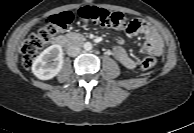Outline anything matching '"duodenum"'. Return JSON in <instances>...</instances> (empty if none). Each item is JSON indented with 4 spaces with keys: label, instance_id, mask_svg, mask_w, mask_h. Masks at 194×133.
Returning a JSON list of instances; mask_svg holds the SVG:
<instances>
[{
    "label": "duodenum",
    "instance_id": "obj_1",
    "mask_svg": "<svg viewBox=\"0 0 194 133\" xmlns=\"http://www.w3.org/2000/svg\"><path fill=\"white\" fill-rule=\"evenodd\" d=\"M83 38L79 36H58L54 39V44L61 47H70L72 45L81 43Z\"/></svg>",
    "mask_w": 194,
    "mask_h": 133
}]
</instances>
